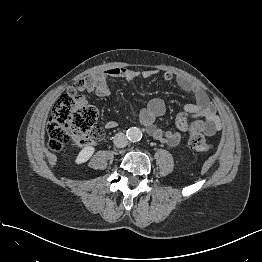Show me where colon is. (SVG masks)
Masks as SVG:
<instances>
[{"instance_id": "1", "label": "colon", "mask_w": 262, "mask_h": 262, "mask_svg": "<svg viewBox=\"0 0 262 262\" xmlns=\"http://www.w3.org/2000/svg\"><path fill=\"white\" fill-rule=\"evenodd\" d=\"M73 87L57 100L46 124V144L52 151L61 150L68 142L86 146L100 136V131L94 128L98 117L97 109L83 101ZM189 147L201 153H208L212 149V145L198 131L191 133Z\"/></svg>"}]
</instances>
